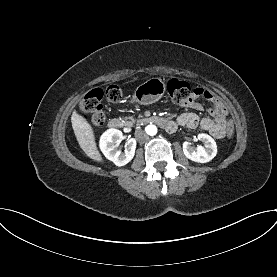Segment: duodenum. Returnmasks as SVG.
<instances>
[{
	"label": "duodenum",
	"mask_w": 277,
	"mask_h": 277,
	"mask_svg": "<svg viewBox=\"0 0 277 277\" xmlns=\"http://www.w3.org/2000/svg\"><path fill=\"white\" fill-rule=\"evenodd\" d=\"M148 122L155 123L162 128H164L167 132L172 133L176 130L177 124L174 121H169L160 116H151L146 119ZM109 128L111 129H120L124 127V121L120 118H112L108 123Z\"/></svg>",
	"instance_id": "duodenum-1"
}]
</instances>
